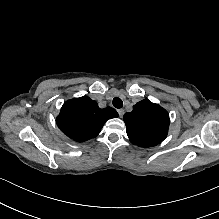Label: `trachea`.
<instances>
[{"instance_id": "3493384b", "label": "trachea", "mask_w": 219, "mask_h": 219, "mask_svg": "<svg viewBox=\"0 0 219 219\" xmlns=\"http://www.w3.org/2000/svg\"><path fill=\"white\" fill-rule=\"evenodd\" d=\"M113 106L115 107V108H117V109H120V108H122V106H123V101L121 100V98H119V97H115L114 99H113Z\"/></svg>"}]
</instances>
